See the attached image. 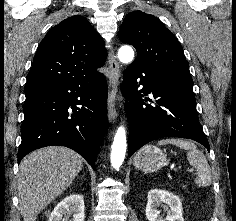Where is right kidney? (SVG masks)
<instances>
[{
  "label": "right kidney",
  "mask_w": 236,
  "mask_h": 221,
  "mask_svg": "<svg viewBox=\"0 0 236 221\" xmlns=\"http://www.w3.org/2000/svg\"><path fill=\"white\" fill-rule=\"evenodd\" d=\"M73 216L70 221H84L85 206L80 194H71L60 201L49 217V221H67V217Z\"/></svg>",
  "instance_id": "right-kidney-1"
}]
</instances>
